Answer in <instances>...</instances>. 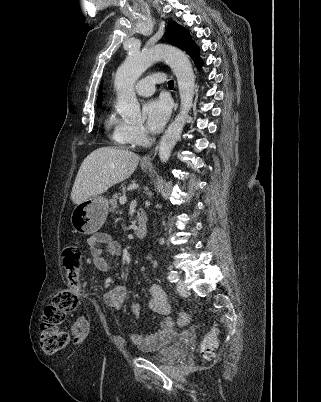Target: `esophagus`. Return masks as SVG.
<instances>
[{"instance_id":"obj_1","label":"esophagus","mask_w":321,"mask_h":402,"mask_svg":"<svg viewBox=\"0 0 321 402\" xmlns=\"http://www.w3.org/2000/svg\"><path fill=\"white\" fill-rule=\"evenodd\" d=\"M177 108V104L175 105V110ZM158 151V146L154 147L148 154L143 156L141 162L146 165H152V160L155 158Z\"/></svg>"}]
</instances>
